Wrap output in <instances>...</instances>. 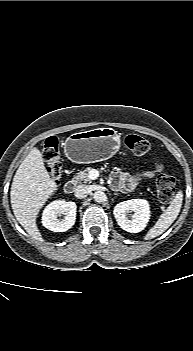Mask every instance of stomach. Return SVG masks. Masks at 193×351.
I'll return each mask as SVG.
<instances>
[{
    "instance_id": "stomach-1",
    "label": "stomach",
    "mask_w": 193,
    "mask_h": 351,
    "mask_svg": "<svg viewBox=\"0 0 193 351\" xmlns=\"http://www.w3.org/2000/svg\"><path fill=\"white\" fill-rule=\"evenodd\" d=\"M121 140L112 128H97L71 134L65 141L64 152L69 160L89 164L112 157L120 148Z\"/></svg>"
}]
</instances>
